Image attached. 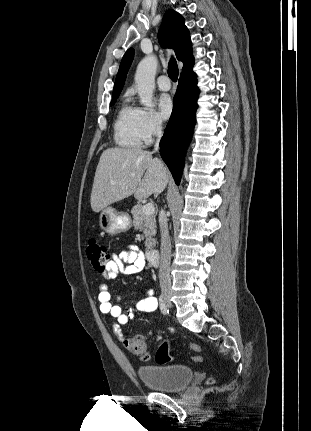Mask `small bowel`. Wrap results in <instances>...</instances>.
<instances>
[{"label":"small bowel","instance_id":"obj_1","mask_svg":"<svg viewBox=\"0 0 311 431\" xmlns=\"http://www.w3.org/2000/svg\"><path fill=\"white\" fill-rule=\"evenodd\" d=\"M145 267V258L136 246H130L127 250L113 253L106 263L104 276L114 279L119 274L132 275L142 271ZM99 308L104 314H109L116 319L114 330L121 339V326L133 320L137 314L152 313L158 308V300L154 297L152 288L145 291L143 297L127 312L122 310L119 304L112 302L111 294L106 285H101L98 294Z\"/></svg>","mask_w":311,"mask_h":431}]
</instances>
